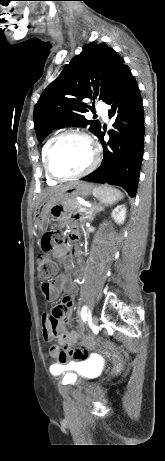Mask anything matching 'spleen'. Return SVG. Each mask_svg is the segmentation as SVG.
Wrapping results in <instances>:
<instances>
[{
  "label": "spleen",
  "instance_id": "3e777b00",
  "mask_svg": "<svg viewBox=\"0 0 165 461\" xmlns=\"http://www.w3.org/2000/svg\"><path fill=\"white\" fill-rule=\"evenodd\" d=\"M94 195L105 205H113L123 198V193L120 190L110 186L96 188Z\"/></svg>",
  "mask_w": 165,
  "mask_h": 461
}]
</instances>
